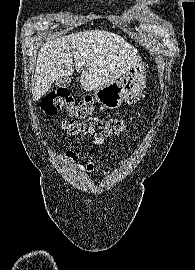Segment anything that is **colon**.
<instances>
[{
	"instance_id": "1",
	"label": "colon",
	"mask_w": 195,
	"mask_h": 270,
	"mask_svg": "<svg viewBox=\"0 0 195 270\" xmlns=\"http://www.w3.org/2000/svg\"><path fill=\"white\" fill-rule=\"evenodd\" d=\"M41 109L46 115H54L59 111L67 112L73 119L63 121L61 127L70 135L112 136L121 132L126 122L131 119V117H92L94 111L93 97L85 95L80 101L76 102L67 89H57L48 93L42 100Z\"/></svg>"
}]
</instances>
